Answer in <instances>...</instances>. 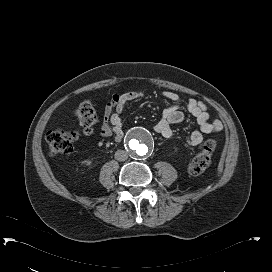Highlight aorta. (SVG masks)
I'll list each match as a JSON object with an SVG mask.
<instances>
[{"mask_svg": "<svg viewBox=\"0 0 272 272\" xmlns=\"http://www.w3.org/2000/svg\"><path fill=\"white\" fill-rule=\"evenodd\" d=\"M127 150L134 158L146 157L153 148V137L148 130L136 127L129 131L127 136Z\"/></svg>", "mask_w": 272, "mask_h": 272, "instance_id": "obj_1", "label": "aorta"}]
</instances>
